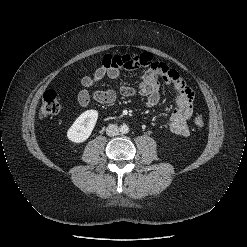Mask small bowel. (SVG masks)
I'll use <instances>...</instances> for the list:
<instances>
[{
    "label": "small bowel",
    "mask_w": 247,
    "mask_h": 247,
    "mask_svg": "<svg viewBox=\"0 0 247 247\" xmlns=\"http://www.w3.org/2000/svg\"><path fill=\"white\" fill-rule=\"evenodd\" d=\"M144 68L145 71L139 77L137 87L122 85L119 90H94L91 93L82 90L78 95V102L82 107H87L91 100L104 106L113 105L121 94L132 97L140 94L146 97V106L151 108L160 100V79L175 88V109L172 112L168 127L176 135L186 137L189 134L188 121L193 111V91L185 82L180 73L163 62L155 61L148 52L139 54H115L106 55L102 65L92 76H85L81 83L84 88L90 89L96 83L108 77L117 79L123 70Z\"/></svg>",
    "instance_id": "obj_1"
}]
</instances>
